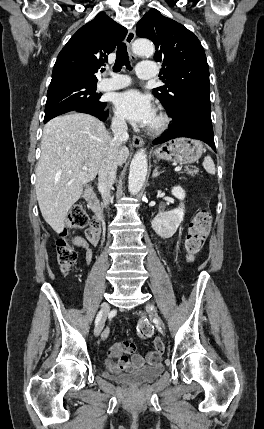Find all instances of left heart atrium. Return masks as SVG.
<instances>
[{
  "instance_id": "39dd6f15",
  "label": "left heart atrium",
  "mask_w": 264,
  "mask_h": 429,
  "mask_svg": "<svg viewBox=\"0 0 264 429\" xmlns=\"http://www.w3.org/2000/svg\"><path fill=\"white\" fill-rule=\"evenodd\" d=\"M116 113L137 125H149L155 118V107L150 96L137 90L118 93L114 99Z\"/></svg>"
}]
</instances>
